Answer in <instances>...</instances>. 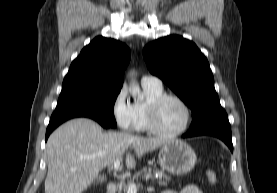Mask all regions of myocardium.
I'll list each match as a JSON object with an SVG mask.
<instances>
[{
	"instance_id": "obj_1",
	"label": "myocardium",
	"mask_w": 277,
	"mask_h": 193,
	"mask_svg": "<svg viewBox=\"0 0 277 193\" xmlns=\"http://www.w3.org/2000/svg\"><path fill=\"white\" fill-rule=\"evenodd\" d=\"M167 99H173L179 102L181 106L184 108L186 113V119H185L184 125L180 129L173 132L164 131L163 129H161L158 122L159 108L161 104ZM146 110H147V120H148L149 131L161 137H165V138L177 137L183 134L191 124L192 113L189 105L182 97L173 93H162L161 95L154 97L148 102Z\"/></svg>"
}]
</instances>
